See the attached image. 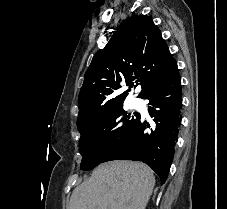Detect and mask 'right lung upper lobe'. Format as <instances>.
Returning <instances> with one entry per match:
<instances>
[{"instance_id":"1","label":"right lung upper lobe","mask_w":227,"mask_h":209,"mask_svg":"<svg viewBox=\"0 0 227 209\" xmlns=\"http://www.w3.org/2000/svg\"><path fill=\"white\" fill-rule=\"evenodd\" d=\"M175 63L150 16L133 15L126 19L107 45L96 52L85 73L78 99V119L102 113L107 99H125L130 90L119 93L118 89L123 85L131 87L135 79L142 86L138 97L143 98L167 72L157 74L153 69Z\"/></svg>"}]
</instances>
